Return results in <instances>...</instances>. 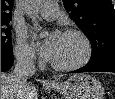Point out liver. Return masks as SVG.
<instances>
[{
	"label": "liver",
	"instance_id": "1",
	"mask_svg": "<svg viewBox=\"0 0 115 99\" xmlns=\"http://www.w3.org/2000/svg\"><path fill=\"white\" fill-rule=\"evenodd\" d=\"M1 99H38V94L32 84H27L25 88L19 90L14 75L1 72Z\"/></svg>",
	"mask_w": 115,
	"mask_h": 99
}]
</instances>
